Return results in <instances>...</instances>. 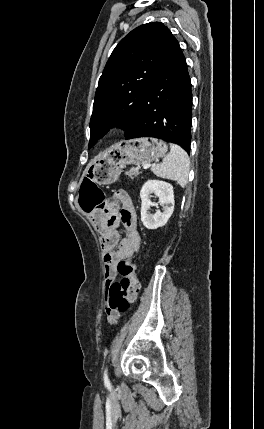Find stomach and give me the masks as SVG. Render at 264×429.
Instances as JSON below:
<instances>
[{"instance_id": "0dacf381", "label": "stomach", "mask_w": 264, "mask_h": 429, "mask_svg": "<svg viewBox=\"0 0 264 429\" xmlns=\"http://www.w3.org/2000/svg\"><path fill=\"white\" fill-rule=\"evenodd\" d=\"M167 149V144L156 138L142 137L121 141L94 158L86 168L85 175L98 185H110L118 180L126 165L157 160Z\"/></svg>"}]
</instances>
